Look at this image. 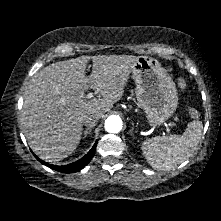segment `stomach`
Instances as JSON below:
<instances>
[{"instance_id": "0dacf381", "label": "stomach", "mask_w": 221, "mask_h": 221, "mask_svg": "<svg viewBox=\"0 0 221 221\" xmlns=\"http://www.w3.org/2000/svg\"><path fill=\"white\" fill-rule=\"evenodd\" d=\"M136 98L146 113L150 126H159L175 112L178 105L174 81L154 58L139 56L132 66Z\"/></svg>"}]
</instances>
